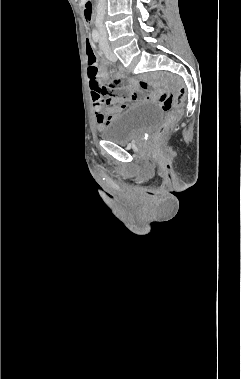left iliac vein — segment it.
Returning a JSON list of instances; mask_svg holds the SVG:
<instances>
[{
    "label": "left iliac vein",
    "instance_id": "obj_1",
    "mask_svg": "<svg viewBox=\"0 0 241 379\" xmlns=\"http://www.w3.org/2000/svg\"><path fill=\"white\" fill-rule=\"evenodd\" d=\"M101 47H102V50H103L105 56L110 61H116L117 60L116 55L113 53V51L110 49L109 45L104 40L101 41Z\"/></svg>",
    "mask_w": 241,
    "mask_h": 379
}]
</instances>
